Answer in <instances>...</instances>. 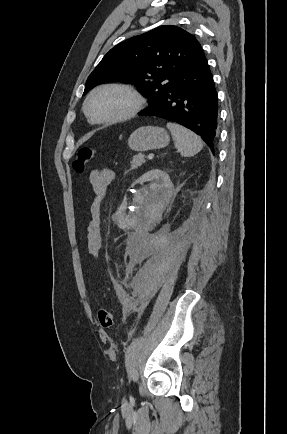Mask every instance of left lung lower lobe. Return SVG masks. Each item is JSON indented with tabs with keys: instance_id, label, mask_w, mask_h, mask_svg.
Wrapping results in <instances>:
<instances>
[{
	"instance_id": "0a47b994",
	"label": "left lung lower lobe",
	"mask_w": 287,
	"mask_h": 434,
	"mask_svg": "<svg viewBox=\"0 0 287 434\" xmlns=\"http://www.w3.org/2000/svg\"><path fill=\"white\" fill-rule=\"evenodd\" d=\"M140 115L179 123L198 134L213 151L218 136V97L205 55L180 72L161 99Z\"/></svg>"
}]
</instances>
